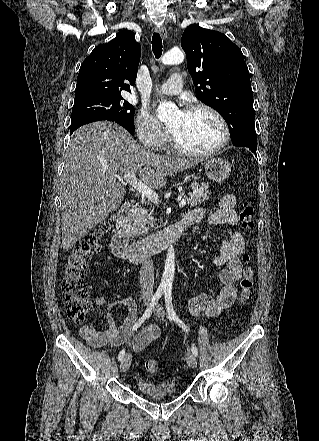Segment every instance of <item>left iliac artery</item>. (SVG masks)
Segmentation results:
<instances>
[{
  "mask_svg": "<svg viewBox=\"0 0 319 441\" xmlns=\"http://www.w3.org/2000/svg\"><path fill=\"white\" fill-rule=\"evenodd\" d=\"M165 304H166V309L169 315V318L174 320L175 323H177L182 330H184L186 333H188V328L185 325V323L178 317V315L175 313L174 308H173V304H172V292L170 289L165 290ZM192 353L197 356L198 355V350L196 348V346L194 344H192Z\"/></svg>",
  "mask_w": 319,
  "mask_h": 441,
  "instance_id": "1",
  "label": "left iliac artery"
}]
</instances>
